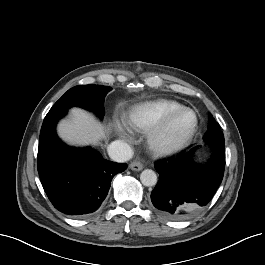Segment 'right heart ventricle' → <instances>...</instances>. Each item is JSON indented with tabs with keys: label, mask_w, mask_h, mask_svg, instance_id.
Returning a JSON list of instances; mask_svg holds the SVG:
<instances>
[{
	"label": "right heart ventricle",
	"mask_w": 265,
	"mask_h": 265,
	"mask_svg": "<svg viewBox=\"0 0 265 265\" xmlns=\"http://www.w3.org/2000/svg\"><path fill=\"white\" fill-rule=\"evenodd\" d=\"M183 107L170 99H159L136 106L122 119L124 126L131 132H149L166 114Z\"/></svg>",
	"instance_id": "right-heart-ventricle-1"
}]
</instances>
